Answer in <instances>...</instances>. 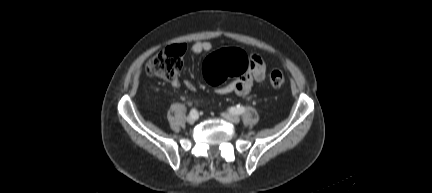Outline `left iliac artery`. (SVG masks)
<instances>
[{"label": "left iliac artery", "instance_id": "obj_1", "mask_svg": "<svg viewBox=\"0 0 432 193\" xmlns=\"http://www.w3.org/2000/svg\"><path fill=\"white\" fill-rule=\"evenodd\" d=\"M229 111L233 114H242L245 111L243 106L237 105L235 107H231Z\"/></svg>", "mask_w": 432, "mask_h": 193}]
</instances>
